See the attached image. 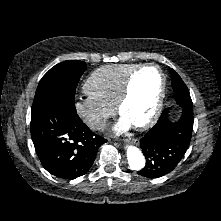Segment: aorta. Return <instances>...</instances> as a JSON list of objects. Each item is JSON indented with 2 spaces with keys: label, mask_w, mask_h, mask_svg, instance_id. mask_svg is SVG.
Instances as JSON below:
<instances>
[{
  "label": "aorta",
  "mask_w": 221,
  "mask_h": 221,
  "mask_svg": "<svg viewBox=\"0 0 221 221\" xmlns=\"http://www.w3.org/2000/svg\"><path fill=\"white\" fill-rule=\"evenodd\" d=\"M127 159L132 170H141L145 166V158L141 151L135 146L127 147Z\"/></svg>",
  "instance_id": "obj_1"
}]
</instances>
